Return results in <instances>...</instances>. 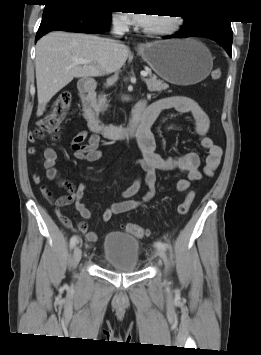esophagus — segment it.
Returning a JSON list of instances; mask_svg holds the SVG:
<instances>
[{
	"instance_id": "obj_1",
	"label": "esophagus",
	"mask_w": 261,
	"mask_h": 355,
	"mask_svg": "<svg viewBox=\"0 0 261 355\" xmlns=\"http://www.w3.org/2000/svg\"><path fill=\"white\" fill-rule=\"evenodd\" d=\"M142 47H143V44H141V43H139V44L136 45V48H137V49H141Z\"/></svg>"
}]
</instances>
